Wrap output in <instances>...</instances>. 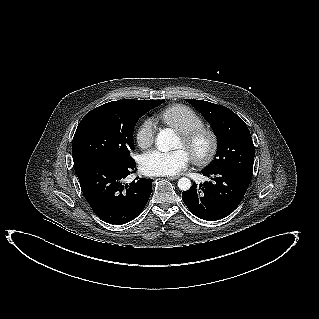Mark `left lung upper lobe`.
Here are the masks:
<instances>
[{"mask_svg":"<svg viewBox=\"0 0 319 319\" xmlns=\"http://www.w3.org/2000/svg\"><path fill=\"white\" fill-rule=\"evenodd\" d=\"M185 100L205 117L217 136L216 159L205 170L233 169L252 177L255 149L242 119L222 105L202 100Z\"/></svg>","mask_w":319,"mask_h":319,"instance_id":"obj_1","label":"left lung upper lobe"}]
</instances>
